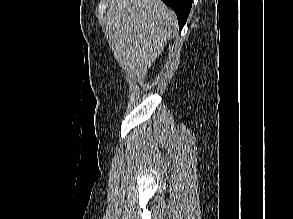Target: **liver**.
Segmentation results:
<instances>
[{
	"mask_svg": "<svg viewBox=\"0 0 293 219\" xmlns=\"http://www.w3.org/2000/svg\"><path fill=\"white\" fill-rule=\"evenodd\" d=\"M108 36L116 58L145 76L177 31L175 12L161 0H108Z\"/></svg>",
	"mask_w": 293,
	"mask_h": 219,
	"instance_id": "1",
	"label": "liver"
}]
</instances>
